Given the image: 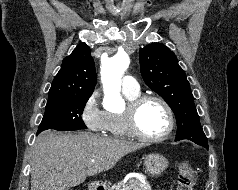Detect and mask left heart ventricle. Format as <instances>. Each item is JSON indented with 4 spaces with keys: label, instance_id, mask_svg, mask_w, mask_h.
I'll use <instances>...</instances> for the list:
<instances>
[{
    "label": "left heart ventricle",
    "instance_id": "obj_1",
    "mask_svg": "<svg viewBox=\"0 0 238 190\" xmlns=\"http://www.w3.org/2000/svg\"><path fill=\"white\" fill-rule=\"evenodd\" d=\"M137 121L140 130L149 136L163 134L169 125L165 109L155 101H149L141 107Z\"/></svg>",
    "mask_w": 238,
    "mask_h": 190
}]
</instances>
